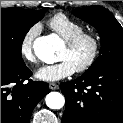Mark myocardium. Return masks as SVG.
I'll use <instances>...</instances> for the list:
<instances>
[{"instance_id": "1", "label": "myocardium", "mask_w": 123, "mask_h": 123, "mask_svg": "<svg viewBox=\"0 0 123 123\" xmlns=\"http://www.w3.org/2000/svg\"><path fill=\"white\" fill-rule=\"evenodd\" d=\"M84 40H88L91 43V53L85 63L75 68V71L78 73L89 70L97 61L101 50L100 38L93 32L82 31L65 40V46L68 49L75 48L80 42Z\"/></svg>"}]
</instances>
